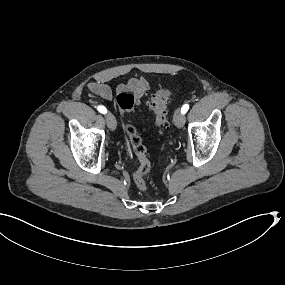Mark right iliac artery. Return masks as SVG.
Returning <instances> with one entry per match:
<instances>
[{
  "label": "right iliac artery",
  "mask_w": 285,
  "mask_h": 285,
  "mask_svg": "<svg viewBox=\"0 0 285 285\" xmlns=\"http://www.w3.org/2000/svg\"><path fill=\"white\" fill-rule=\"evenodd\" d=\"M98 111L102 114H105L107 112L106 108L104 106H98Z\"/></svg>",
  "instance_id": "82829eb1"
}]
</instances>
